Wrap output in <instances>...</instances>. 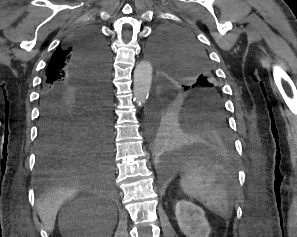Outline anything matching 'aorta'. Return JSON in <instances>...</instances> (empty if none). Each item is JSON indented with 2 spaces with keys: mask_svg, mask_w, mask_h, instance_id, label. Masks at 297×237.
I'll list each match as a JSON object with an SVG mask.
<instances>
[{
  "mask_svg": "<svg viewBox=\"0 0 297 237\" xmlns=\"http://www.w3.org/2000/svg\"><path fill=\"white\" fill-rule=\"evenodd\" d=\"M152 83V66L149 61H141L134 70L133 94L137 106L141 107L149 96Z\"/></svg>",
  "mask_w": 297,
  "mask_h": 237,
  "instance_id": "aorta-1",
  "label": "aorta"
}]
</instances>
